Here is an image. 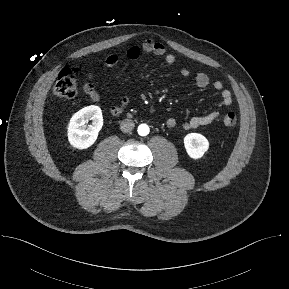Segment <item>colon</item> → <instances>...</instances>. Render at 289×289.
<instances>
[{
	"instance_id": "obj_1",
	"label": "colon",
	"mask_w": 289,
	"mask_h": 289,
	"mask_svg": "<svg viewBox=\"0 0 289 289\" xmlns=\"http://www.w3.org/2000/svg\"><path fill=\"white\" fill-rule=\"evenodd\" d=\"M77 73L74 67L64 68L54 87L53 93L57 97L72 98L77 93ZM237 123V116L234 112H228L223 118V124L226 128H233Z\"/></svg>"
}]
</instances>
